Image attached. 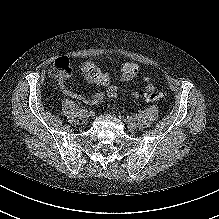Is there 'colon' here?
Instances as JSON below:
<instances>
[{
  "mask_svg": "<svg viewBox=\"0 0 219 219\" xmlns=\"http://www.w3.org/2000/svg\"><path fill=\"white\" fill-rule=\"evenodd\" d=\"M96 74V81L103 86H106V94L109 97H115L118 90L115 86L109 85V76L106 73L98 72L96 68H92ZM72 72L70 60L67 57L57 58L49 69V76L57 81H62L67 78ZM122 76L129 78L137 74L138 65L132 62H127L122 65ZM165 95L162 92L150 91L142 96L146 102H155L164 99Z\"/></svg>",
  "mask_w": 219,
  "mask_h": 219,
  "instance_id": "colon-1",
  "label": "colon"
}]
</instances>
